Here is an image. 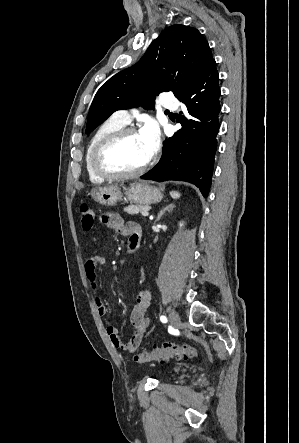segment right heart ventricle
<instances>
[{
  "label": "right heart ventricle",
  "instance_id": "obj_1",
  "mask_svg": "<svg viewBox=\"0 0 299 443\" xmlns=\"http://www.w3.org/2000/svg\"><path fill=\"white\" fill-rule=\"evenodd\" d=\"M125 125L117 122L112 117L105 120L103 123L99 125V127L94 131L92 136L90 137L86 150H85V168L87 171V175L89 180L92 183H101L104 181V178L95 173L92 167V154L96 147V145L107 135L110 133L121 129Z\"/></svg>",
  "mask_w": 299,
  "mask_h": 443
}]
</instances>
